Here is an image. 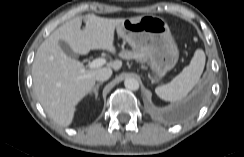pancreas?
Listing matches in <instances>:
<instances>
[{"label":"pancreas","mask_w":244,"mask_h":157,"mask_svg":"<svg viewBox=\"0 0 244 157\" xmlns=\"http://www.w3.org/2000/svg\"><path fill=\"white\" fill-rule=\"evenodd\" d=\"M121 56L124 58V59H138L140 61H143L145 60L146 56L145 54L141 53V52H137V51H123L121 53Z\"/></svg>","instance_id":"pancreas-1"}]
</instances>
